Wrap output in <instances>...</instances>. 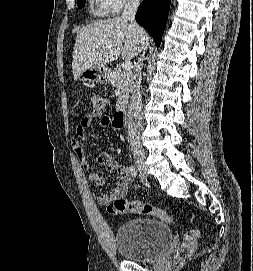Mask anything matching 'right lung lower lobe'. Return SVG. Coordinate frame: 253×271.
Listing matches in <instances>:
<instances>
[{"label":"right lung lower lobe","mask_w":253,"mask_h":271,"mask_svg":"<svg viewBox=\"0 0 253 271\" xmlns=\"http://www.w3.org/2000/svg\"><path fill=\"white\" fill-rule=\"evenodd\" d=\"M170 3L171 0H144L135 16L136 21L152 35L157 47L167 23Z\"/></svg>","instance_id":"right-lung-lower-lobe-1"}]
</instances>
